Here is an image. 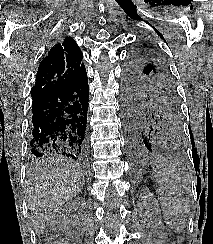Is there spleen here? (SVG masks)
Returning <instances> with one entry per match:
<instances>
[{
	"label": "spleen",
	"instance_id": "obj_1",
	"mask_svg": "<svg viewBox=\"0 0 213 244\" xmlns=\"http://www.w3.org/2000/svg\"><path fill=\"white\" fill-rule=\"evenodd\" d=\"M153 175L164 220L174 231H182L191 205L189 178L177 162L165 157L157 159Z\"/></svg>",
	"mask_w": 213,
	"mask_h": 244
}]
</instances>
